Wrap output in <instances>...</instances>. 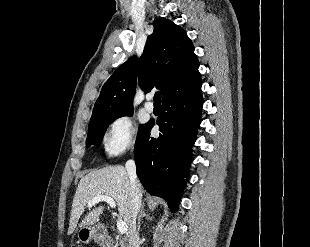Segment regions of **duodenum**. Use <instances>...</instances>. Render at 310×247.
Segmentation results:
<instances>
[{"label": "duodenum", "instance_id": "410a0bca", "mask_svg": "<svg viewBox=\"0 0 310 247\" xmlns=\"http://www.w3.org/2000/svg\"><path fill=\"white\" fill-rule=\"evenodd\" d=\"M108 243H110V240H109V239L105 241V244H108Z\"/></svg>", "mask_w": 310, "mask_h": 247}]
</instances>
